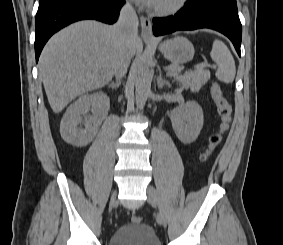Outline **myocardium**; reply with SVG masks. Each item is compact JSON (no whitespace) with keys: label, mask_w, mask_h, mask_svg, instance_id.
<instances>
[{"label":"myocardium","mask_w":283,"mask_h":245,"mask_svg":"<svg viewBox=\"0 0 283 245\" xmlns=\"http://www.w3.org/2000/svg\"><path fill=\"white\" fill-rule=\"evenodd\" d=\"M188 2L189 0H172L165 4L155 3L152 10L157 15L170 16L182 11L188 5Z\"/></svg>","instance_id":"obj_1"}]
</instances>
